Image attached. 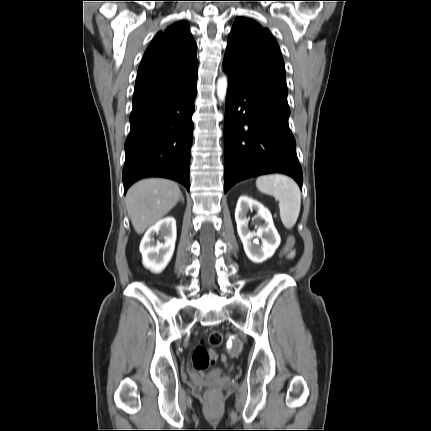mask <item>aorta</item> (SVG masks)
Wrapping results in <instances>:
<instances>
[{
	"label": "aorta",
	"mask_w": 431,
	"mask_h": 431,
	"mask_svg": "<svg viewBox=\"0 0 431 431\" xmlns=\"http://www.w3.org/2000/svg\"><path fill=\"white\" fill-rule=\"evenodd\" d=\"M227 85L228 83L226 77L220 78L217 82V95L221 100H224L227 91Z\"/></svg>",
	"instance_id": "aorta-1"
}]
</instances>
